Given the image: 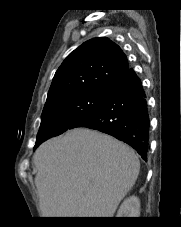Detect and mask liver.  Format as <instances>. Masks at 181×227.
<instances>
[{"mask_svg":"<svg viewBox=\"0 0 181 227\" xmlns=\"http://www.w3.org/2000/svg\"><path fill=\"white\" fill-rule=\"evenodd\" d=\"M33 159L43 217H113L140 170L132 148L87 128L47 140Z\"/></svg>","mask_w":181,"mask_h":227,"instance_id":"1","label":"liver"}]
</instances>
